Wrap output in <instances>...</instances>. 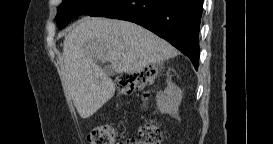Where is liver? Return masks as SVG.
Segmentation results:
<instances>
[{"instance_id":"obj_1","label":"liver","mask_w":273,"mask_h":144,"mask_svg":"<svg viewBox=\"0 0 273 144\" xmlns=\"http://www.w3.org/2000/svg\"><path fill=\"white\" fill-rule=\"evenodd\" d=\"M177 54L167 41L135 23L82 18L65 36L62 54L66 85L80 117L92 116L115 92L97 61H109L116 73L132 74Z\"/></svg>"}]
</instances>
